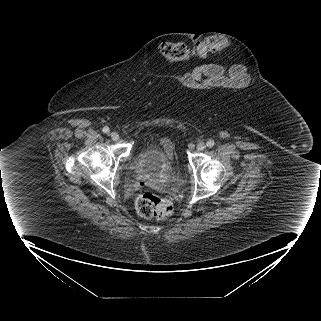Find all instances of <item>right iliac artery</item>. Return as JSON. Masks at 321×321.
Returning a JSON list of instances; mask_svg holds the SVG:
<instances>
[{"label":"right iliac artery","instance_id":"right-iliac-artery-1","mask_svg":"<svg viewBox=\"0 0 321 321\" xmlns=\"http://www.w3.org/2000/svg\"><path fill=\"white\" fill-rule=\"evenodd\" d=\"M103 132L106 133V134H108V133L110 132V130H109L108 127H104V128H103Z\"/></svg>","mask_w":321,"mask_h":321}]
</instances>
